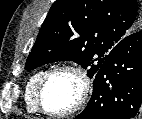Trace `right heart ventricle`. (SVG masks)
<instances>
[{"mask_svg":"<svg viewBox=\"0 0 142 119\" xmlns=\"http://www.w3.org/2000/svg\"><path fill=\"white\" fill-rule=\"evenodd\" d=\"M47 73V70L43 69L34 73L27 81L25 87V102L27 109L32 113H37L39 111L36 103V94L40 82Z\"/></svg>","mask_w":142,"mask_h":119,"instance_id":"1","label":"right heart ventricle"}]
</instances>
